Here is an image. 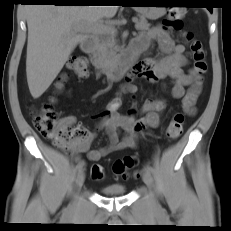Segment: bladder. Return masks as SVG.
<instances>
[{
    "label": "bladder",
    "mask_w": 231,
    "mask_h": 231,
    "mask_svg": "<svg viewBox=\"0 0 231 231\" xmlns=\"http://www.w3.org/2000/svg\"><path fill=\"white\" fill-rule=\"evenodd\" d=\"M126 192L123 185H108L101 188V193L106 196H122Z\"/></svg>",
    "instance_id": "1"
}]
</instances>
